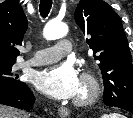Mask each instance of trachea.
Instances as JSON below:
<instances>
[{
    "label": "trachea",
    "mask_w": 133,
    "mask_h": 118,
    "mask_svg": "<svg viewBox=\"0 0 133 118\" xmlns=\"http://www.w3.org/2000/svg\"><path fill=\"white\" fill-rule=\"evenodd\" d=\"M52 0H41L40 1V14L43 18H46L51 10Z\"/></svg>",
    "instance_id": "trachea-1"
}]
</instances>
